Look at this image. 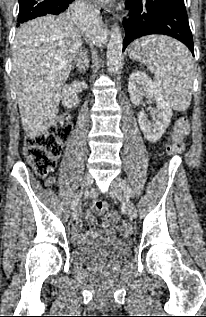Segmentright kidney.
Segmentation results:
<instances>
[{
    "label": "right kidney",
    "instance_id": "obj_1",
    "mask_svg": "<svg viewBox=\"0 0 206 317\" xmlns=\"http://www.w3.org/2000/svg\"><path fill=\"white\" fill-rule=\"evenodd\" d=\"M62 104L66 108H73L78 102L76 93L69 86H64L61 93Z\"/></svg>",
    "mask_w": 206,
    "mask_h": 317
}]
</instances>
